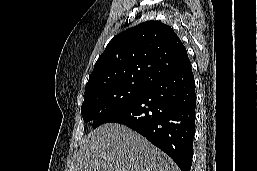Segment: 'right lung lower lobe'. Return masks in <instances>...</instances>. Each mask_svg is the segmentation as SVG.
Segmentation results:
<instances>
[{"instance_id": "1", "label": "right lung lower lobe", "mask_w": 257, "mask_h": 171, "mask_svg": "<svg viewBox=\"0 0 257 171\" xmlns=\"http://www.w3.org/2000/svg\"><path fill=\"white\" fill-rule=\"evenodd\" d=\"M195 82L191 63L149 84L105 123L124 124L190 171L195 132Z\"/></svg>"}]
</instances>
